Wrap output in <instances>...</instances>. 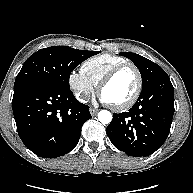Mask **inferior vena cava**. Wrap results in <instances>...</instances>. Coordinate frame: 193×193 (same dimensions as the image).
I'll use <instances>...</instances> for the list:
<instances>
[{"label": "inferior vena cava", "mask_w": 193, "mask_h": 193, "mask_svg": "<svg viewBox=\"0 0 193 193\" xmlns=\"http://www.w3.org/2000/svg\"><path fill=\"white\" fill-rule=\"evenodd\" d=\"M77 98L79 101L85 103V102H87V100H89V95L86 93H81V94L77 95Z\"/></svg>", "instance_id": "obj_1"}]
</instances>
